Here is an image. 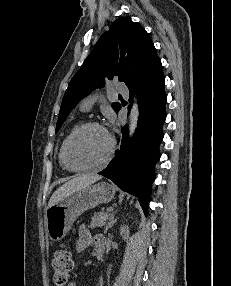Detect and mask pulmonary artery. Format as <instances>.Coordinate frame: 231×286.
<instances>
[{"instance_id": "1", "label": "pulmonary artery", "mask_w": 231, "mask_h": 286, "mask_svg": "<svg viewBox=\"0 0 231 286\" xmlns=\"http://www.w3.org/2000/svg\"><path fill=\"white\" fill-rule=\"evenodd\" d=\"M114 90L120 94H124L127 95L129 93V90L127 88V86L123 83L120 82H116L114 84ZM97 97L96 96H89L85 99L82 100L81 104H80V108L82 111H89L92 107V105L94 104V102L96 101Z\"/></svg>"}]
</instances>
